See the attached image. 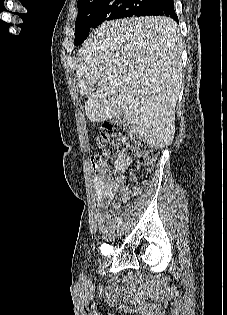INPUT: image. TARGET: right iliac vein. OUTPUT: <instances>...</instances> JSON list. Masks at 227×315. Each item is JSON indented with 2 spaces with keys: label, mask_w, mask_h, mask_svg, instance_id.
<instances>
[{
  "label": "right iliac vein",
  "mask_w": 227,
  "mask_h": 315,
  "mask_svg": "<svg viewBox=\"0 0 227 315\" xmlns=\"http://www.w3.org/2000/svg\"><path fill=\"white\" fill-rule=\"evenodd\" d=\"M123 231H124L123 226H119V227L117 228L116 233H117V235H121V234L123 233Z\"/></svg>",
  "instance_id": "obj_1"
}]
</instances>
